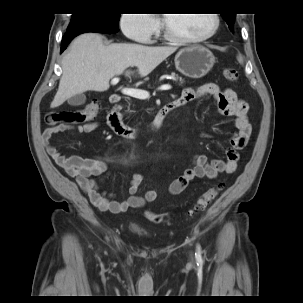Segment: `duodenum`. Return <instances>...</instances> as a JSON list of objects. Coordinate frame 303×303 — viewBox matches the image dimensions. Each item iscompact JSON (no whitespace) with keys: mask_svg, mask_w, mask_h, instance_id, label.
I'll return each instance as SVG.
<instances>
[{"mask_svg":"<svg viewBox=\"0 0 303 303\" xmlns=\"http://www.w3.org/2000/svg\"><path fill=\"white\" fill-rule=\"evenodd\" d=\"M120 101L121 97L117 94H112L110 96V103L112 104V109L110 113L108 114V121L111 124L112 130L114 133L123 138V139H130L135 136H137L140 131L146 132V131H152L160 127L166 118V116L173 111L174 109L179 107V103L177 101H173L165 105L160 109V111L157 113L155 119L148 124L145 128L139 129L137 127H133L130 125H126L122 121V115L120 112Z\"/></svg>","mask_w":303,"mask_h":303,"instance_id":"obj_1","label":"duodenum"}]
</instances>
